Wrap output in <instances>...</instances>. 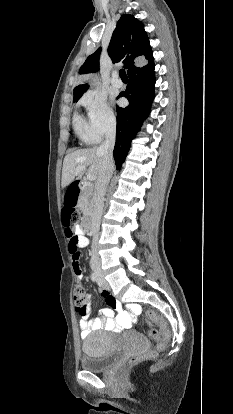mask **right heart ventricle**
I'll list each match as a JSON object with an SVG mask.
<instances>
[{"label": "right heart ventricle", "instance_id": "right-heart-ventricle-1", "mask_svg": "<svg viewBox=\"0 0 233 414\" xmlns=\"http://www.w3.org/2000/svg\"><path fill=\"white\" fill-rule=\"evenodd\" d=\"M73 124H74V130L76 134L80 138L85 140V136L87 133V123L84 121V119L79 114H75L74 119H73Z\"/></svg>", "mask_w": 233, "mask_h": 414}]
</instances>
